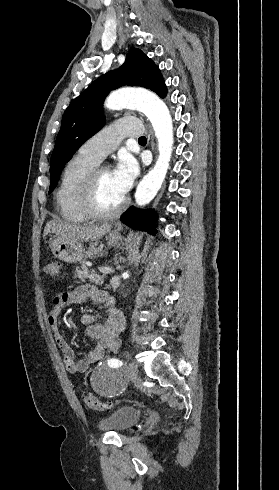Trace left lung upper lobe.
<instances>
[{
    "label": "left lung upper lobe",
    "mask_w": 279,
    "mask_h": 490,
    "mask_svg": "<svg viewBox=\"0 0 279 490\" xmlns=\"http://www.w3.org/2000/svg\"><path fill=\"white\" fill-rule=\"evenodd\" d=\"M124 85L149 88L162 98L167 94L159 68L140 49H131L119 69L91 83L66 109L51 156L49 193L56 186L63 166L103 126L100 107L105 97L110 90Z\"/></svg>",
    "instance_id": "left-lung-upper-lobe-1"
}]
</instances>
